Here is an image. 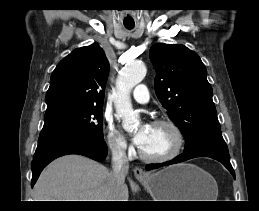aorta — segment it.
I'll return each mask as SVG.
<instances>
[{
	"label": "aorta",
	"mask_w": 259,
	"mask_h": 211,
	"mask_svg": "<svg viewBox=\"0 0 259 211\" xmlns=\"http://www.w3.org/2000/svg\"><path fill=\"white\" fill-rule=\"evenodd\" d=\"M146 72V66L142 62L134 61L127 64L118 76L115 103L117 114L123 119L122 126L125 130L134 128L138 123L139 116L132 109L129 94L132 88L144 79Z\"/></svg>",
	"instance_id": "obj_1"
}]
</instances>
